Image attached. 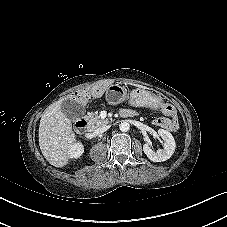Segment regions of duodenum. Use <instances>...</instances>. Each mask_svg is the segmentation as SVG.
Instances as JSON below:
<instances>
[{"instance_id": "duodenum-1", "label": "duodenum", "mask_w": 227, "mask_h": 227, "mask_svg": "<svg viewBox=\"0 0 227 227\" xmlns=\"http://www.w3.org/2000/svg\"><path fill=\"white\" fill-rule=\"evenodd\" d=\"M88 126L89 123L88 121L84 120V119H80L79 121H77L75 123V129L77 132L81 133V134H86L88 131Z\"/></svg>"}]
</instances>
